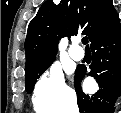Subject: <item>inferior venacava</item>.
<instances>
[{"label": "inferior vena cava", "mask_w": 121, "mask_h": 113, "mask_svg": "<svg viewBox=\"0 0 121 113\" xmlns=\"http://www.w3.org/2000/svg\"><path fill=\"white\" fill-rule=\"evenodd\" d=\"M68 113H79L77 104L70 105Z\"/></svg>", "instance_id": "1"}]
</instances>
